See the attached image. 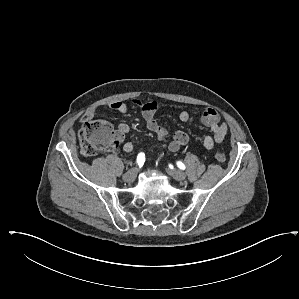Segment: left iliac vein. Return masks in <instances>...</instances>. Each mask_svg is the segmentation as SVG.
<instances>
[{"label": "left iliac vein", "mask_w": 299, "mask_h": 299, "mask_svg": "<svg viewBox=\"0 0 299 299\" xmlns=\"http://www.w3.org/2000/svg\"><path fill=\"white\" fill-rule=\"evenodd\" d=\"M167 172L177 181H183L186 178L185 173L181 170L168 169Z\"/></svg>", "instance_id": "obj_1"}]
</instances>
